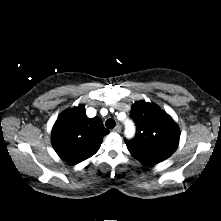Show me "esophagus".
<instances>
[{"instance_id": "esophagus-1", "label": "esophagus", "mask_w": 221, "mask_h": 221, "mask_svg": "<svg viewBox=\"0 0 221 221\" xmlns=\"http://www.w3.org/2000/svg\"><path fill=\"white\" fill-rule=\"evenodd\" d=\"M114 132H117V133H120L121 132V126L120 125H117L114 129H113Z\"/></svg>"}]
</instances>
